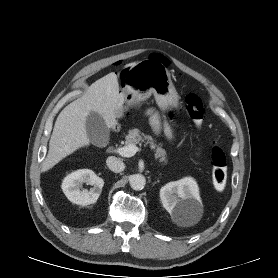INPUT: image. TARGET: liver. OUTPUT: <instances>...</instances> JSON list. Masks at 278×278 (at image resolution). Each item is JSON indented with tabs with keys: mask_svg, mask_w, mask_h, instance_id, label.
<instances>
[{
	"mask_svg": "<svg viewBox=\"0 0 278 278\" xmlns=\"http://www.w3.org/2000/svg\"><path fill=\"white\" fill-rule=\"evenodd\" d=\"M136 63L125 66L129 68ZM119 93L117 75L111 72L95 81L86 93L67 105L58 115L49 141L47 157L42 172L48 171L62 159L76 150L89 146L86 119L91 111L102 116L108 129H114L123 114L124 103L130 104L127 95L132 89L125 86Z\"/></svg>",
	"mask_w": 278,
	"mask_h": 278,
	"instance_id": "6515ba94",
	"label": "liver"
}]
</instances>
